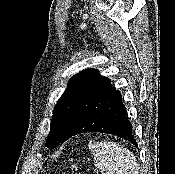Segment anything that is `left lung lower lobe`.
Masks as SVG:
<instances>
[{
	"label": "left lung lower lobe",
	"mask_w": 175,
	"mask_h": 174,
	"mask_svg": "<svg viewBox=\"0 0 175 174\" xmlns=\"http://www.w3.org/2000/svg\"><path fill=\"white\" fill-rule=\"evenodd\" d=\"M87 132H101L124 138L138 146L132 135V125L127 118L120 91L106 79L87 93L75 107L63 140Z\"/></svg>",
	"instance_id": "0a47b994"
}]
</instances>
